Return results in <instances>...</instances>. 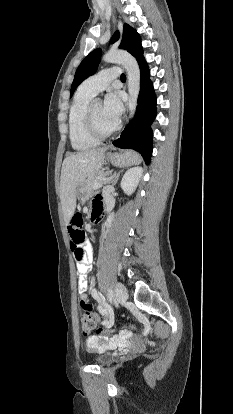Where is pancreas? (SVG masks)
<instances>
[{
	"label": "pancreas",
	"instance_id": "cf45deb5",
	"mask_svg": "<svg viewBox=\"0 0 233 414\" xmlns=\"http://www.w3.org/2000/svg\"><path fill=\"white\" fill-rule=\"evenodd\" d=\"M111 174V171H106V172H104V171H99V172H97V173H93V174H91L88 178H87V180L85 181V183H86V186H87V190H88V193H89V196H90V194H92L93 193V191H94V189H93V184H95V183H105V181L103 180L106 176H108V175H110Z\"/></svg>",
	"mask_w": 233,
	"mask_h": 414
}]
</instances>
